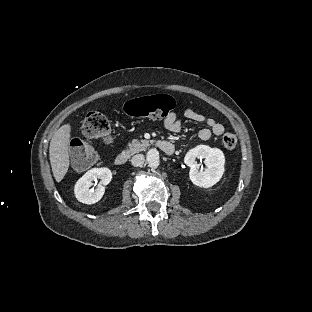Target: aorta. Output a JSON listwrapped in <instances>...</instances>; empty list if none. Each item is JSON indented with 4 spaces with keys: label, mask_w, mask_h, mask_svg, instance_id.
I'll use <instances>...</instances> for the list:
<instances>
[{
    "label": "aorta",
    "mask_w": 312,
    "mask_h": 312,
    "mask_svg": "<svg viewBox=\"0 0 312 312\" xmlns=\"http://www.w3.org/2000/svg\"><path fill=\"white\" fill-rule=\"evenodd\" d=\"M148 165L152 168H158L160 165L159 154L155 149L149 150L147 154Z\"/></svg>",
    "instance_id": "1"
}]
</instances>
